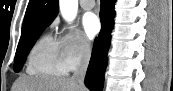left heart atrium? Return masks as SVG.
I'll list each match as a JSON object with an SVG mask.
<instances>
[{"label":"left heart atrium","instance_id":"1","mask_svg":"<svg viewBox=\"0 0 173 91\" xmlns=\"http://www.w3.org/2000/svg\"><path fill=\"white\" fill-rule=\"evenodd\" d=\"M82 26L86 36L90 39L95 37L100 30V22L94 13H86L82 19Z\"/></svg>","mask_w":173,"mask_h":91}]
</instances>
